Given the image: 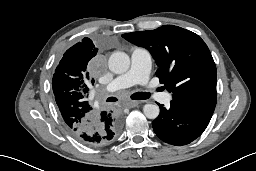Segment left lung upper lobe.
<instances>
[{"label": "left lung upper lobe", "mask_w": 256, "mask_h": 171, "mask_svg": "<svg viewBox=\"0 0 256 171\" xmlns=\"http://www.w3.org/2000/svg\"><path fill=\"white\" fill-rule=\"evenodd\" d=\"M127 41L148 49L159 69L156 75L173 100L213 114L217 71L204 41L195 33L174 25L123 34Z\"/></svg>", "instance_id": "1"}]
</instances>
